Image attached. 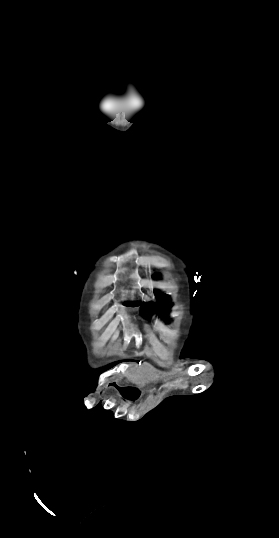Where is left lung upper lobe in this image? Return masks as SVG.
I'll return each instance as SVG.
<instances>
[{"label":"left lung upper lobe","mask_w":279,"mask_h":538,"mask_svg":"<svg viewBox=\"0 0 279 538\" xmlns=\"http://www.w3.org/2000/svg\"><path fill=\"white\" fill-rule=\"evenodd\" d=\"M125 305L127 306H138V305H141V303H135V302H130V303H126ZM171 304L168 303V302H161L159 304H154V303H145L144 304V309L143 311H141V314H145L147 311H151V312H156V313H165L167 312L168 310L164 309L165 307H170Z\"/></svg>","instance_id":"obj_1"}]
</instances>
